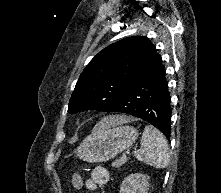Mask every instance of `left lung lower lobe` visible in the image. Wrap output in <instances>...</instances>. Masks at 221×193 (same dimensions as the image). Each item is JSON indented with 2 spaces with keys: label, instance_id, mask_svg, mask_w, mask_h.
Instances as JSON below:
<instances>
[{
  "label": "left lung lower lobe",
  "instance_id": "1",
  "mask_svg": "<svg viewBox=\"0 0 221 193\" xmlns=\"http://www.w3.org/2000/svg\"><path fill=\"white\" fill-rule=\"evenodd\" d=\"M170 102L165 68L160 58L130 84L123 97L107 112H121L141 118L158 128L170 140Z\"/></svg>",
  "mask_w": 221,
  "mask_h": 193
}]
</instances>
